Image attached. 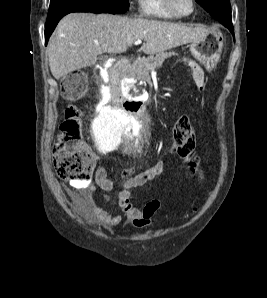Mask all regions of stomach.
Masks as SVG:
<instances>
[{
    "instance_id": "stomach-1",
    "label": "stomach",
    "mask_w": 267,
    "mask_h": 298,
    "mask_svg": "<svg viewBox=\"0 0 267 298\" xmlns=\"http://www.w3.org/2000/svg\"><path fill=\"white\" fill-rule=\"evenodd\" d=\"M223 48V39L219 33H208L205 37L190 44L193 57L212 70L218 63Z\"/></svg>"
}]
</instances>
